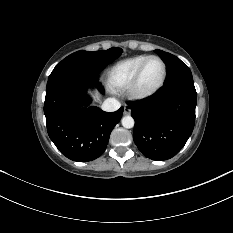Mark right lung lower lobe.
I'll list each match as a JSON object with an SVG mask.
<instances>
[{"mask_svg": "<svg viewBox=\"0 0 233 233\" xmlns=\"http://www.w3.org/2000/svg\"><path fill=\"white\" fill-rule=\"evenodd\" d=\"M104 89L94 74H59L48 78L44 114L50 139L67 158L87 162L106 149L123 108L113 113L89 106L87 87Z\"/></svg>", "mask_w": 233, "mask_h": 233, "instance_id": "98d812e1", "label": "right lung lower lobe"}]
</instances>
